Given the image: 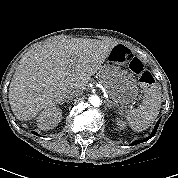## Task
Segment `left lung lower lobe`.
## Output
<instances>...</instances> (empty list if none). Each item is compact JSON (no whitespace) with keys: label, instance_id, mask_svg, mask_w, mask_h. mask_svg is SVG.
<instances>
[{"label":"left lung lower lobe","instance_id":"0a47b994","mask_svg":"<svg viewBox=\"0 0 178 178\" xmlns=\"http://www.w3.org/2000/svg\"><path fill=\"white\" fill-rule=\"evenodd\" d=\"M159 123H160V120H159V121L157 122V124L155 125L152 134H151L149 137H147L144 141H147L148 139H150L152 136L155 135V133H156V131H157V129H158ZM142 142H143V141H141V140H135L131 145H136V144H139V143H142Z\"/></svg>","mask_w":178,"mask_h":178}]
</instances>
